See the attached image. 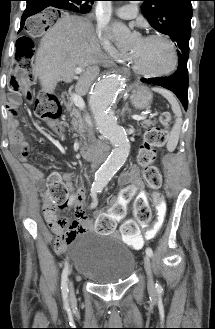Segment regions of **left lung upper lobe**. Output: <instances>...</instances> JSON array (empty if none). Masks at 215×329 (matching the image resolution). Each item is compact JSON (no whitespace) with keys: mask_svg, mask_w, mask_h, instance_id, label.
<instances>
[{"mask_svg":"<svg viewBox=\"0 0 215 329\" xmlns=\"http://www.w3.org/2000/svg\"><path fill=\"white\" fill-rule=\"evenodd\" d=\"M150 25L176 43L179 57L189 56L192 0H142Z\"/></svg>","mask_w":215,"mask_h":329,"instance_id":"1","label":"left lung upper lobe"}]
</instances>
